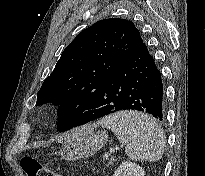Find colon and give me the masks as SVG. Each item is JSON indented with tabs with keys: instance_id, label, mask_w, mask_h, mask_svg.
Segmentation results:
<instances>
[{
	"instance_id": "colon-1",
	"label": "colon",
	"mask_w": 205,
	"mask_h": 176,
	"mask_svg": "<svg viewBox=\"0 0 205 176\" xmlns=\"http://www.w3.org/2000/svg\"><path fill=\"white\" fill-rule=\"evenodd\" d=\"M21 166L28 176H58L30 157L24 158Z\"/></svg>"
}]
</instances>
